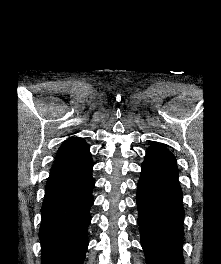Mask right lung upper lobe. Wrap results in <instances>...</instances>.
<instances>
[{
	"label": "right lung upper lobe",
	"mask_w": 221,
	"mask_h": 264,
	"mask_svg": "<svg viewBox=\"0 0 221 264\" xmlns=\"http://www.w3.org/2000/svg\"><path fill=\"white\" fill-rule=\"evenodd\" d=\"M87 153H89V147L82 138H70L64 141L59 148L54 163L80 157Z\"/></svg>",
	"instance_id": "1"
}]
</instances>
